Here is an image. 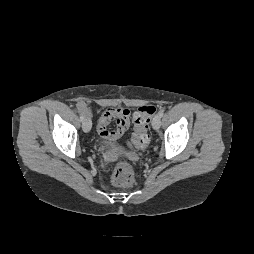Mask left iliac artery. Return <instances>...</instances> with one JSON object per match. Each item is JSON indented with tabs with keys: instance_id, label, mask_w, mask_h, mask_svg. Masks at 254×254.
<instances>
[{
	"instance_id": "1",
	"label": "left iliac artery",
	"mask_w": 254,
	"mask_h": 254,
	"mask_svg": "<svg viewBox=\"0 0 254 254\" xmlns=\"http://www.w3.org/2000/svg\"><path fill=\"white\" fill-rule=\"evenodd\" d=\"M158 115L162 117L164 115V111L163 110L159 111Z\"/></svg>"
}]
</instances>
